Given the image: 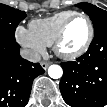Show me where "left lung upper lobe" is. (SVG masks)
Instances as JSON below:
<instances>
[{"instance_id":"left-lung-upper-lobe-1","label":"left lung upper lobe","mask_w":107,"mask_h":107,"mask_svg":"<svg viewBox=\"0 0 107 107\" xmlns=\"http://www.w3.org/2000/svg\"><path fill=\"white\" fill-rule=\"evenodd\" d=\"M76 6L82 8L91 18L94 26V34L107 28V11L89 3H79Z\"/></svg>"}]
</instances>
